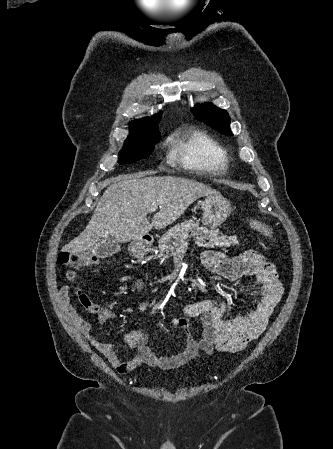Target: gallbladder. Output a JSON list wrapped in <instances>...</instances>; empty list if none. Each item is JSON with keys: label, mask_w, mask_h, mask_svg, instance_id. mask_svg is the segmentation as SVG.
<instances>
[{"label": "gallbladder", "mask_w": 333, "mask_h": 449, "mask_svg": "<svg viewBox=\"0 0 333 449\" xmlns=\"http://www.w3.org/2000/svg\"><path fill=\"white\" fill-rule=\"evenodd\" d=\"M121 250V244L114 238H106L96 245L92 252L95 257L107 258L118 253Z\"/></svg>", "instance_id": "1"}]
</instances>
